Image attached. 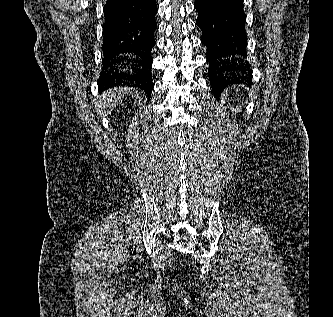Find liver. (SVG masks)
Here are the masks:
<instances>
[{
    "label": "liver",
    "instance_id": "obj_1",
    "mask_svg": "<svg viewBox=\"0 0 333 317\" xmlns=\"http://www.w3.org/2000/svg\"><path fill=\"white\" fill-rule=\"evenodd\" d=\"M126 91L127 88L123 87L105 91L99 99L98 107L104 114H110L112 110L122 101Z\"/></svg>",
    "mask_w": 333,
    "mask_h": 317
}]
</instances>
